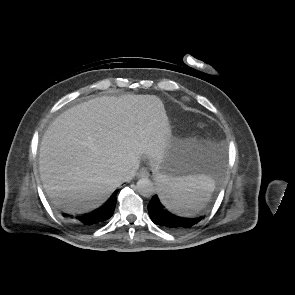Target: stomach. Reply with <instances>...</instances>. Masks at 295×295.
Segmentation results:
<instances>
[{
    "mask_svg": "<svg viewBox=\"0 0 295 295\" xmlns=\"http://www.w3.org/2000/svg\"><path fill=\"white\" fill-rule=\"evenodd\" d=\"M210 148L195 140L175 142L165 153L157 167L152 168L154 174L170 178L208 175Z\"/></svg>",
    "mask_w": 295,
    "mask_h": 295,
    "instance_id": "1",
    "label": "stomach"
}]
</instances>
